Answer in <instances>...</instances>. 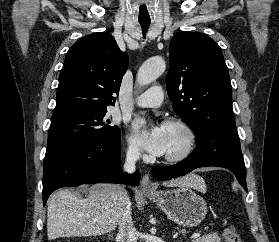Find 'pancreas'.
I'll return each mask as SVG.
<instances>
[{"label": "pancreas", "mask_w": 279, "mask_h": 242, "mask_svg": "<svg viewBox=\"0 0 279 242\" xmlns=\"http://www.w3.org/2000/svg\"><path fill=\"white\" fill-rule=\"evenodd\" d=\"M181 232L185 233L184 230H181ZM194 242H221V238L218 233H211L196 239Z\"/></svg>", "instance_id": "cf45deb5"}]
</instances>
